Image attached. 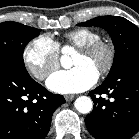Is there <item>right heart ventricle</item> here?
I'll return each mask as SVG.
<instances>
[{"label":"right heart ventricle","mask_w":139,"mask_h":139,"mask_svg":"<svg viewBox=\"0 0 139 139\" xmlns=\"http://www.w3.org/2000/svg\"><path fill=\"white\" fill-rule=\"evenodd\" d=\"M100 39V34L89 28H78L64 34V45L79 48L87 43ZM58 47L59 44L57 43Z\"/></svg>","instance_id":"obj_1"}]
</instances>
